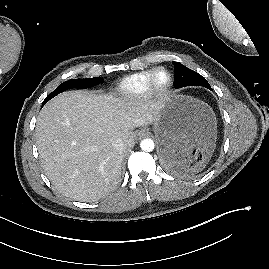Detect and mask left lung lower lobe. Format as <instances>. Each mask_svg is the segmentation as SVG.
<instances>
[{"label":"left lung lower lobe","instance_id":"obj_1","mask_svg":"<svg viewBox=\"0 0 269 269\" xmlns=\"http://www.w3.org/2000/svg\"><path fill=\"white\" fill-rule=\"evenodd\" d=\"M178 160V150L174 146L165 147L163 151V165L173 171L175 170L176 161Z\"/></svg>","mask_w":269,"mask_h":269}]
</instances>
